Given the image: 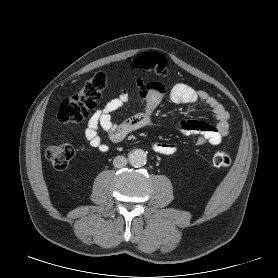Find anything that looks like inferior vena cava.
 Segmentation results:
<instances>
[{
    "instance_id": "1",
    "label": "inferior vena cava",
    "mask_w": 278,
    "mask_h": 278,
    "mask_svg": "<svg viewBox=\"0 0 278 278\" xmlns=\"http://www.w3.org/2000/svg\"><path fill=\"white\" fill-rule=\"evenodd\" d=\"M127 164V159L124 156H116L113 160V165L116 168H122L126 166Z\"/></svg>"
}]
</instances>
